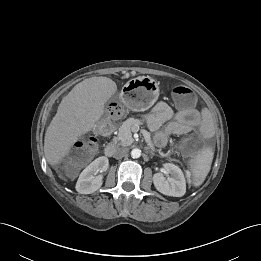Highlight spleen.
<instances>
[{"instance_id": "obj_1", "label": "spleen", "mask_w": 261, "mask_h": 261, "mask_svg": "<svg viewBox=\"0 0 261 261\" xmlns=\"http://www.w3.org/2000/svg\"><path fill=\"white\" fill-rule=\"evenodd\" d=\"M213 160V150L210 147L203 148L190 163L192 183L200 186L208 175Z\"/></svg>"}]
</instances>
